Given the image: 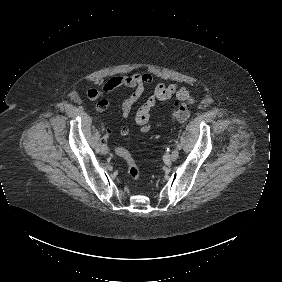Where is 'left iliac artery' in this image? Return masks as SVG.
I'll list each match as a JSON object with an SVG mask.
<instances>
[{"label":"left iliac artery","mask_w":282,"mask_h":282,"mask_svg":"<svg viewBox=\"0 0 282 282\" xmlns=\"http://www.w3.org/2000/svg\"><path fill=\"white\" fill-rule=\"evenodd\" d=\"M176 148H177L178 150H180V149L182 148V145H181L180 143H178L177 146H176Z\"/></svg>","instance_id":"44dca946"}]
</instances>
